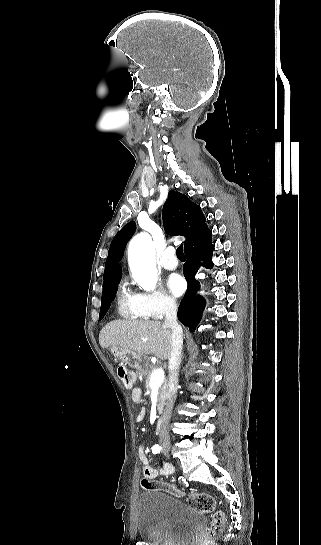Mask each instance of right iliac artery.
I'll return each mask as SVG.
<instances>
[{
	"label": "right iliac artery",
	"mask_w": 321,
	"mask_h": 545,
	"mask_svg": "<svg viewBox=\"0 0 321 545\" xmlns=\"http://www.w3.org/2000/svg\"><path fill=\"white\" fill-rule=\"evenodd\" d=\"M160 451H161V446H159V445H154V446L152 447V452H153L154 454H157V453H159Z\"/></svg>",
	"instance_id": "1"
}]
</instances>
